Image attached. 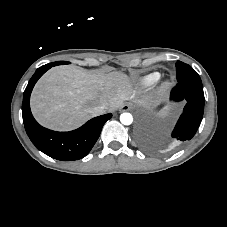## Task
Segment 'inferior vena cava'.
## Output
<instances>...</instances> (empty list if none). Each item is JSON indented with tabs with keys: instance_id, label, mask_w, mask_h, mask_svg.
Instances as JSON below:
<instances>
[{
	"instance_id": "inferior-vena-cava-1",
	"label": "inferior vena cava",
	"mask_w": 227,
	"mask_h": 227,
	"mask_svg": "<svg viewBox=\"0 0 227 227\" xmlns=\"http://www.w3.org/2000/svg\"><path fill=\"white\" fill-rule=\"evenodd\" d=\"M108 109V104L106 102H101L96 104L93 108L92 111L95 115L103 114L107 111Z\"/></svg>"
}]
</instances>
